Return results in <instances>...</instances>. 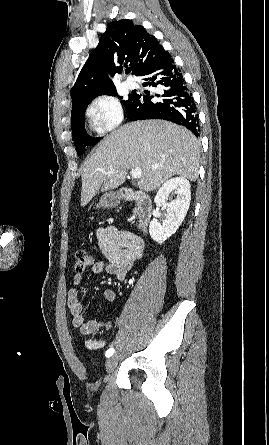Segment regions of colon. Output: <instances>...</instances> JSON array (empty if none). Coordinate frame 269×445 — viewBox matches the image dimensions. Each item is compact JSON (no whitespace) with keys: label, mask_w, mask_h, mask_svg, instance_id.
Listing matches in <instances>:
<instances>
[{"label":"colon","mask_w":269,"mask_h":445,"mask_svg":"<svg viewBox=\"0 0 269 445\" xmlns=\"http://www.w3.org/2000/svg\"><path fill=\"white\" fill-rule=\"evenodd\" d=\"M75 269L77 272H84L93 264V256L85 249H77L74 254Z\"/></svg>","instance_id":"5ec220e1"}]
</instances>
